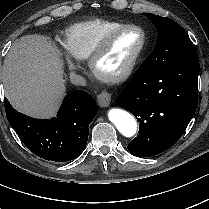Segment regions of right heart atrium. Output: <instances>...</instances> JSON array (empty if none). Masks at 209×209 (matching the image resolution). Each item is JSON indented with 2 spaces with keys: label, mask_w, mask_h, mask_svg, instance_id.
<instances>
[{
  "label": "right heart atrium",
  "mask_w": 209,
  "mask_h": 209,
  "mask_svg": "<svg viewBox=\"0 0 209 209\" xmlns=\"http://www.w3.org/2000/svg\"><path fill=\"white\" fill-rule=\"evenodd\" d=\"M63 58L71 71H76L78 69L77 62L73 57L69 55V53L65 49L63 50Z\"/></svg>",
  "instance_id": "d8ad5b80"
}]
</instances>
